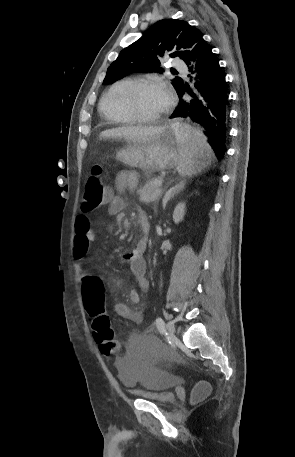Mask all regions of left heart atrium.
I'll list each match as a JSON object with an SVG mask.
<instances>
[{
    "label": "left heart atrium",
    "mask_w": 295,
    "mask_h": 457,
    "mask_svg": "<svg viewBox=\"0 0 295 457\" xmlns=\"http://www.w3.org/2000/svg\"><path fill=\"white\" fill-rule=\"evenodd\" d=\"M159 91L164 100L165 104L168 106L173 99L171 90L166 85H159Z\"/></svg>",
    "instance_id": "left-heart-atrium-1"
}]
</instances>
